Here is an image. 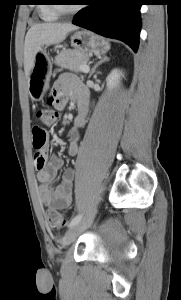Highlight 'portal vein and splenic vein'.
Segmentation results:
<instances>
[{"label": "portal vein and splenic vein", "instance_id": "1", "mask_svg": "<svg viewBox=\"0 0 181 300\" xmlns=\"http://www.w3.org/2000/svg\"><path fill=\"white\" fill-rule=\"evenodd\" d=\"M80 70L84 73H88L89 72V66L88 65H83L80 67Z\"/></svg>", "mask_w": 181, "mask_h": 300}]
</instances>
